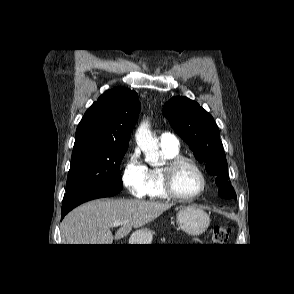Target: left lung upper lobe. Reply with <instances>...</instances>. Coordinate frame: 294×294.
I'll return each mask as SVG.
<instances>
[{
  "label": "left lung upper lobe",
  "instance_id": "5c2ea615",
  "mask_svg": "<svg viewBox=\"0 0 294 294\" xmlns=\"http://www.w3.org/2000/svg\"><path fill=\"white\" fill-rule=\"evenodd\" d=\"M162 112L198 161L205 164L206 171L215 177L219 196L237 199L229 181L220 132L213 117L197 102L184 96L171 98L165 103Z\"/></svg>",
  "mask_w": 294,
  "mask_h": 294
}]
</instances>
